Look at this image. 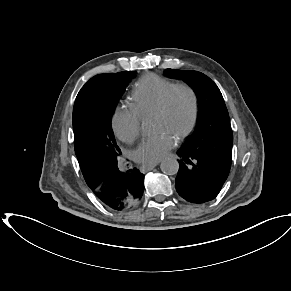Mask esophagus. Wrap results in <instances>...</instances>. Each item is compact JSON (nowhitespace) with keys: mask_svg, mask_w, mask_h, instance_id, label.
Segmentation results:
<instances>
[{"mask_svg":"<svg viewBox=\"0 0 291 291\" xmlns=\"http://www.w3.org/2000/svg\"><path fill=\"white\" fill-rule=\"evenodd\" d=\"M158 164H159V161L158 162H155V163H148V164H145L143 166V168L146 169V170H151L154 167H156Z\"/></svg>","mask_w":291,"mask_h":291,"instance_id":"34e87169","label":"esophagus"}]
</instances>
